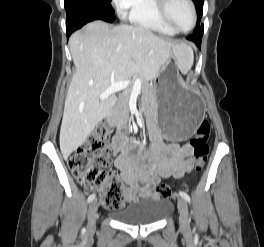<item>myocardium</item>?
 Listing matches in <instances>:
<instances>
[{
	"instance_id": "f54148a6",
	"label": "myocardium",
	"mask_w": 264,
	"mask_h": 247,
	"mask_svg": "<svg viewBox=\"0 0 264 247\" xmlns=\"http://www.w3.org/2000/svg\"><path fill=\"white\" fill-rule=\"evenodd\" d=\"M186 1H187V3L189 4V6L191 8L192 22H191V25L188 28L180 29V28H177L172 23V21H171V19L169 17L168 5H169L170 0H156V7H157V11H158L160 17L176 33H182V32H187V31L191 30L195 26L196 21H197V12H196V7H195V4H194L193 0H186Z\"/></svg>"
}]
</instances>
